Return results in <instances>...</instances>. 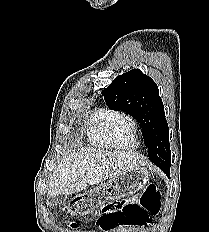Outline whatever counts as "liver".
I'll list each match as a JSON object with an SVG mask.
<instances>
[{"mask_svg":"<svg viewBox=\"0 0 209 232\" xmlns=\"http://www.w3.org/2000/svg\"><path fill=\"white\" fill-rule=\"evenodd\" d=\"M146 164L135 152L82 148L61 160L50 178L47 194L51 199L60 194L77 193L88 185L115 178Z\"/></svg>","mask_w":209,"mask_h":232,"instance_id":"obj_1","label":"liver"}]
</instances>
